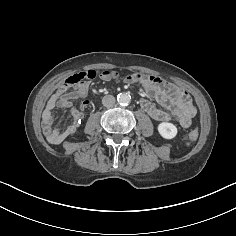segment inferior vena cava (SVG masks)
Returning <instances> with one entry per match:
<instances>
[{
  "label": "inferior vena cava",
  "instance_id": "1",
  "mask_svg": "<svg viewBox=\"0 0 236 236\" xmlns=\"http://www.w3.org/2000/svg\"><path fill=\"white\" fill-rule=\"evenodd\" d=\"M115 97L112 95H106L102 99L103 106L110 108L115 104Z\"/></svg>",
  "mask_w": 236,
  "mask_h": 236
}]
</instances>
